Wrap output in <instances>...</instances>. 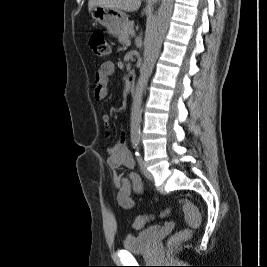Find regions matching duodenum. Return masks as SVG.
Segmentation results:
<instances>
[{
	"mask_svg": "<svg viewBox=\"0 0 267 267\" xmlns=\"http://www.w3.org/2000/svg\"><path fill=\"white\" fill-rule=\"evenodd\" d=\"M135 80H136L135 72L133 70L129 71L127 76V84L131 93H133L135 89Z\"/></svg>",
	"mask_w": 267,
	"mask_h": 267,
	"instance_id": "1",
	"label": "duodenum"
}]
</instances>
